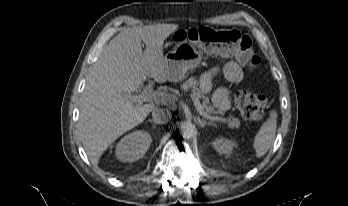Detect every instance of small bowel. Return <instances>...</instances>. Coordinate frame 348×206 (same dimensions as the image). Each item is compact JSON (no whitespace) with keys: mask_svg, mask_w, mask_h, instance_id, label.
Listing matches in <instances>:
<instances>
[{"mask_svg":"<svg viewBox=\"0 0 348 206\" xmlns=\"http://www.w3.org/2000/svg\"><path fill=\"white\" fill-rule=\"evenodd\" d=\"M222 74L229 83H239L243 78L241 67L234 61H227L213 66L200 78V88L203 93H208L212 89L213 78ZM213 102L217 109L227 110L230 107V92L226 86L216 89L213 94Z\"/></svg>","mask_w":348,"mask_h":206,"instance_id":"1","label":"small bowel"}]
</instances>
